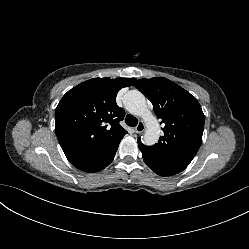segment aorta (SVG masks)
<instances>
[{
  "label": "aorta",
  "mask_w": 249,
  "mask_h": 249,
  "mask_svg": "<svg viewBox=\"0 0 249 249\" xmlns=\"http://www.w3.org/2000/svg\"><path fill=\"white\" fill-rule=\"evenodd\" d=\"M124 105L131 114L144 119L146 131L143 142L148 146L157 143L160 136V125L157 118L148 110L145 96L138 90H131L124 96Z\"/></svg>",
  "instance_id": "obj_1"
}]
</instances>
